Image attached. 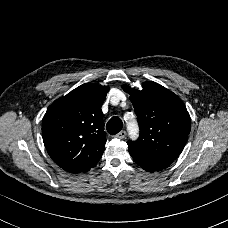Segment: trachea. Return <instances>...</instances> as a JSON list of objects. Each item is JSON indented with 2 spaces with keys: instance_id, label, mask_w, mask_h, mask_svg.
<instances>
[{
  "instance_id": "obj_1",
  "label": "trachea",
  "mask_w": 228,
  "mask_h": 228,
  "mask_svg": "<svg viewBox=\"0 0 228 228\" xmlns=\"http://www.w3.org/2000/svg\"><path fill=\"white\" fill-rule=\"evenodd\" d=\"M107 131L111 135H115L118 132H120L123 128V122L120 118L118 117H112L106 125Z\"/></svg>"
}]
</instances>
